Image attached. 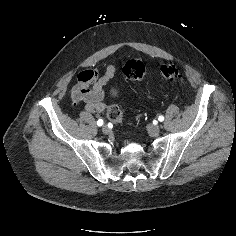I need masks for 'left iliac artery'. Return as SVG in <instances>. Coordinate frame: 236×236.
I'll return each instance as SVG.
<instances>
[{"instance_id": "left-iliac-artery-1", "label": "left iliac artery", "mask_w": 236, "mask_h": 236, "mask_svg": "<svg viewBox=\"0 0 236 236\" xmlns=\"http://www.w3.org/2000/svg\"><path fill=\"white\" fill-rule=\"evenodd\" d=\"M158 120H159L160 122L164 121V116H162V115L159 116V117H158Z\"/></svg>"}]
</instances>
